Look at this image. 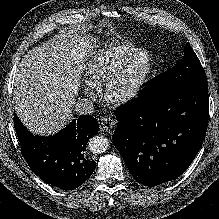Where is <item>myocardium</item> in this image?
<instances>
[{
    "mask_svg": "<svg viewBox=\"0 0 219 219\" xmlns=\"http://www.w3.org/2000/svg\"><path fill=\"white\" fill-rule=\"evenodd\" d=\"M139 57H145L147 65L137 81L127 90H119L118 82L123 70ZM153 69V60L145 50H138L117 64L103 84V96L113 106H123L133 101L143 89Z\"/></svg>",
    "mask_w": 219,
    "mask_h": 219,
    "instance_id": "f54148a6",
    "label": "myocardium"
}]
</instances>
